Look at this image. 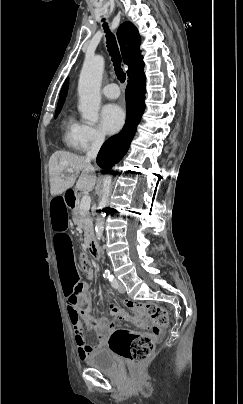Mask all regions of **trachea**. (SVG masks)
I'll list each match as a JSON object with an SVG mask.
<instances>
[{
	"label": "trachea",
	"mask_w": 243,
	"mask_h": 404,
	"mask_svg": "<svg viewBox=\"0 0 243 404\" xmlns=\"http://www.w3.org/2000/svg\"><path fill=\"white\" fill-rule=\"evenodd\" d=\"M104 21V20H103ZM104 31L106 33V38H107V47H108V52L110 54V57L112 58V62L114 65V70L116 73V76L120 82H124L126 79V74L123 72V69L121 67V55L119 52V48L116 42L115 35L110 32L107 23H103Z\"/></svg>",
	"instance_id": "obj_1"
}]
</instances>
